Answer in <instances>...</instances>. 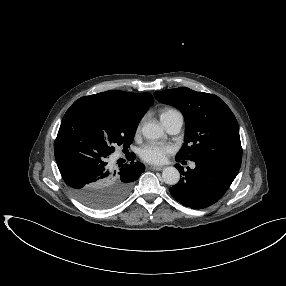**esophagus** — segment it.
Returning a JSON list of instances; mask_svg holds the SVG:
<instances>
[{"label": "esophagus", "mask_w": 286, "mask_h": 286, "mask_svg": "<svg viewBox=\"0 0 286 286\" xmlns=\"http://www.w3.org/2000/svg\"><path fill=\"white\" fill-rule=\"evenodd\" d=\"M149 169L150 170L161 171V170L165 169V166H150Z\"/></svg>", "instance_id": "34e87169"}]
</instances>
